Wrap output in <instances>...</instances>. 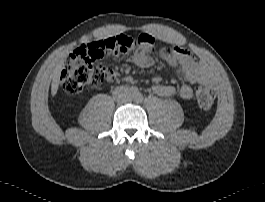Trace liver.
I'll use <instances>...</instances> for the list:
<instances>
[{
    "mask_svg": "<svg viewBox=\"0 0 265 202\" xmlns=\"http://www.w3.org/2000/svg\"><path fill=\"white\" fill-rule=\"evenodd\" d=\"M64 60H61L55 67L52 73V84H51V95L55 96L57 94L59 84H60V76L61 71L63 69Z\"/></svg>",
    "mask_w": 265,
    "mask_h": 202,
    "instance_id": "liver-1",
    "label": "liver"
}]
</instances>
